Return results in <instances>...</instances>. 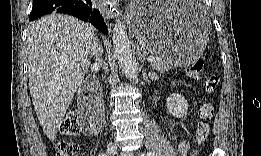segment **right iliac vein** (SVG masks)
I'll return each instance as SVG.
<instances>
[{
  "label": "right iliac vein",
  "mask_w": 261,
  "mask_h": 156,
  "mask_svg": "<svg viewBox=\"0 0 261 156\" xmlns=\"http://www.w3.org/2000/svg\"><path fill=\"white\" fill-rule=\"evenodd\" d=\"M107 153H108V155H110V156L116 155V153H117V147H116V145H114V144H112V143H109V144L107 145Z\"/></svg>",
  "instance_id": "63e3f726"
}]
</instances>
